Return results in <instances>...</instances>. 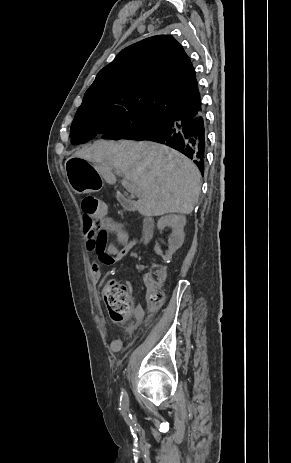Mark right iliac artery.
I'll use <instances>...</instances> for the list:
<instances>
[{
    "label": "right iliac artery",
    "instance_id": "right-iliac-artery-1",
    "mask_svg": "<svg viewBox=\"0 0 291 463\" xmlns=\"http://www.w3.org/2000/svg\"><path fill=\"white\" fill-rule=\"evenodd\" d=\"M120 410L122 415L125 417L127 423L131 426L134 425L131 414H129V400L126 392H122L120 397Z\"/></svg>",
    "mask_w": 291,
    "mask_h": 463
}]
</instances>
